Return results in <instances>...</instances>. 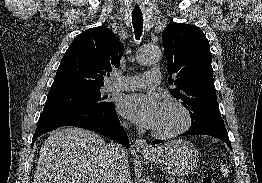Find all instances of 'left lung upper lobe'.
I'll list each match as a JSON object with an SVG mask.
<instances>
[{
    "mask_svg": "<svg viewBox=\"0 0 262 183\" xmlns=\"http://www.w3.org/2000/svg\"><path fill=\"white\" fill-rule=\"evenodd\" d=\"M170 93L189 110L191 127L223 123L211 66L209 42L200 28L171 22L162 33Z\"/></svg>",
    "mask_w": 262,
    "mask_h": 183,
    "instance_id": "left-lung-upper-lobe-1",
    "label": "left lung upper lobe"
}]
</instances>
